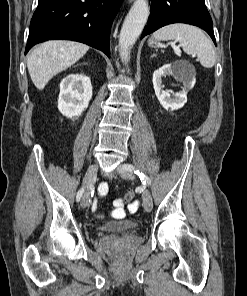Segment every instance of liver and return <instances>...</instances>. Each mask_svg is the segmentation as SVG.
I'll list each match as a JSON object with an SVG mask.
<instances>
[{
  "instance_id": "6515ba94",
  "label": "liver",
  "mask_w": 247,
  "mask_h": 296,
  "mask_svg": "<svg viewBox=\"0 0 247 296\" xmlns=\"http://www.w3.org/2000/svg\"><path fill=\"white\" fill-rule=\"evenodd\" d=\"M89 50V46L75 41H47L34 49L27 59L32 82L43 90L49 80L67 69Z\"/></svg>"
}]
</instances>
